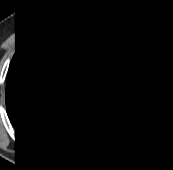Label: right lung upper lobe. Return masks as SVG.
<instances>
[{
    "label": "right lung upper lobe",
    "mask_w": 173,
    "mask_h": 170,
    "mask_svg": "<svg viewBox=\"0 0 173 170\" xmlns=\"http://www.w3.org/2000/svg\"><path fill=\"white\" fill-rule=\"evenodd\" d=\"M89 39L78 33L48 30L38 33L16 50L7 75L6 108L33 102L32 89L22 79L18 65L25 61L36 74L45 71L62 72L68 57L79 47L86 46Z\"/></svg>",
    "instance_id": "cb5924a9"
}]
</instances>
